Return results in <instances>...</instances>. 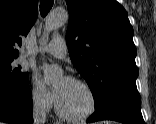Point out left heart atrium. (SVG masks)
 <instances>
[{
  "mask_svg": "<svg viewBox=\"0 0 156 124\" xmlns=\"http://www.w3.org/2000/svg\"><path fill=\"white\" fill-rule=\"evenodd\" d=\"M59 92H60V88L59 87H55L54 89V96H55V99H57L58 95H59Z\"/></svg>",
  "mask_w": 156,
  "mask_h": 124,
  "instance_id": "left-heart-atrium-1",
  "label": "left heart atrium"
}]
</instances>
